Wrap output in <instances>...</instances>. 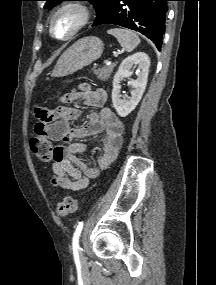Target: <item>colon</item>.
Here are the masks:
<instances>
[{
	"mask_svg": "<svg viewBox=\"0 0 216 285\" xmlns=\"http://www.w3.org/2000/svg\"><path fill=\"white\" fill-rule=\"evenodd\" d=\"M30 148L33 154L41 161H50L55 157V148L47 136H34L30 140ZM78 201L73 197H65L56 205V212L59 216L65 217L76 212Z\"/></svg>",
	"mask_w": 216,
	"mask_h": 285,
	"instance_id": "colon-1",
	"label": "colon"
}]
</instances>
